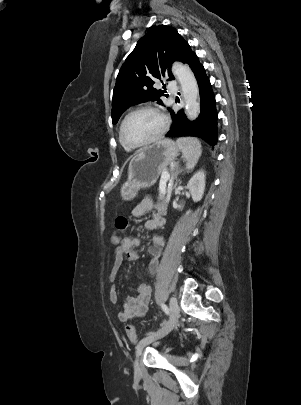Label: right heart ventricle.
<instances>
[{"label":"right heart ventricle","mask_w":301,"mask_h":405,"mask_svg":"<svg viewBox=\"0 0 301 405\" xmlns=\"http://www.w3.org/2000/svg\"><path fill=\"white\" fill-rule=\"evenodd\" d=\"M120 142H121V140H120ZM121 144H122V146L127 150V151H130V150H132L131 148H129V147H127V146H125L122 142H121Z\"/></svg>","instance_id":"1"}]
</instances>
